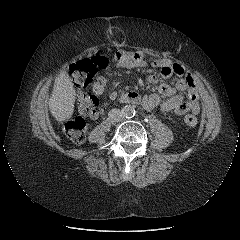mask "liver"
I'll use <instances>...</instances> for the list:
<instances>
[{"label":"liver","instance_id":"liver-1","mask_svg":"<svg viewBox=\"0 0 240 240\" xmlns=\"http://www.w3.org/2000/svg\"><path fill=\"white\" fill-rule=\"evenodd\" d=\"M76 92L66 71L55 79L49 99V110L57 121L70 119L74 112Z\"/></svg>","mask_w":240,"mask_h":240}]
</instances>
